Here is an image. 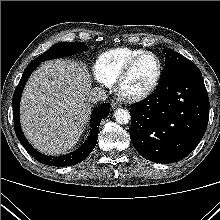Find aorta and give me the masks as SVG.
Segmentation results:
<instances>
[{"label": "aorta", "instance_id": "762f6f07", "mask_svg": "<svg viewBox=\"0 0 220 220\" xmlns=\"http://www.w3.org/2000/svg\"><path fill=\"white\" fill-rule=\"evenodd\" d=\"M115 120L118 124H127L130 119V113L127 109L119 108L114 113Z\"/></svg>", "mask_w": 220, "mask_h": 220}]
</instances>
